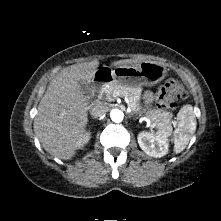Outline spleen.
Segmentation results:
<instances>
[{"instance_id": "spleen-1", "label": "spleen", "mask_w": 221, "mask_h": 221, "mask_svg": "<svg viewBox=\"0 0 221 221\" xmlns=\"http://www.w3.org/2000/svg\"><path fill=\"white\" fill-rule=\"evenodd\" d=\"M179 124L174 133V148L181 152L188 145L191 136L196 131V120L191 105L184 106L178 113Z\"/></svg>"}]
</instances>
